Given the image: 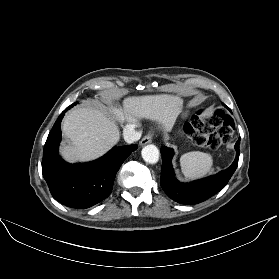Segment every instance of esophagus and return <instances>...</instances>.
I'll return each mask as SVG.
<instances>
[{
    "mask_svg": "<svg viewBox=\"0 0 279 279\" xmlns=\"http://www.w3.org/2000/svg\"><path fill=\"white\" fill-rule=\"evenodd\" d=\"M151 142H152V134L148 133L142 138V140L140 141V145L144 146V145L149 144Z\"/></svg>",
    "mask_w": 279,
    "mask_h": 279,
    "instance_id": "esophagus-1",
    "label": "esophagus"
}]
</instances>
